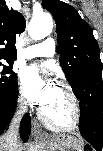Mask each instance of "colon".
I'll list each match as a JSON object with an SVG mask.
<instances>
[{
  "label": "colon",
  "mask_w": 103,
  "mask_h": 151,
  "mask_svg": "<svg viewBox=\"0 0 103 151\" xmlns=\"http://www.w3.org/2000/svg\"><path fill=\"white\" fill-rule=\"evenodd\" d=\"M86 151H90V149H86Z\"/></svg>",
  "instance_id": "1"
}]
</instances>
